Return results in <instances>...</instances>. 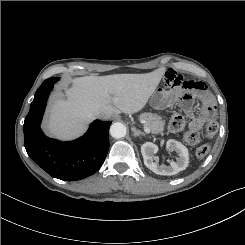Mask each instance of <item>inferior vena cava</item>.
<instances>
[{
    "label": "inferior vena cava",
    "mask_w": 245,
    "mask_h": 245,
    "mask_svg": "<svg viewBox=\"0 0 245 245\" xmlns=\"http://www.w3.org/2000/svg\"><path fill=\"white\" fill-rule=\"evenodd\" d=\"M97 117L102 118V119H106L107 116L105 114H98Z\"/></svg>",
    "instance_id": "1"
}]
</instances>
